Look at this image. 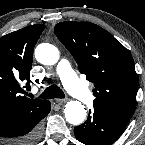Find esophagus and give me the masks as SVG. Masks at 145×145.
<instances>
[{
	"instance_id": "esophagus-1",
	"label": "esophagus",
	"mask_w": 145,
	"mask_h": 145,
	"mask_svg": "<svg viewBox=\"0 0 145 145\" xmlns=\"http://www.w3.org/2000/svg\"><path fill=\"white\" fill-rule=\"evenodd\" d=\"M67 101V99H56V102L58 103V104H63V103H65Z\"/></svg>"
}]
</instances>
